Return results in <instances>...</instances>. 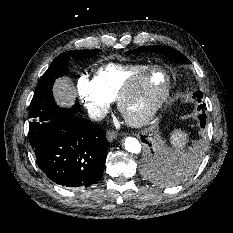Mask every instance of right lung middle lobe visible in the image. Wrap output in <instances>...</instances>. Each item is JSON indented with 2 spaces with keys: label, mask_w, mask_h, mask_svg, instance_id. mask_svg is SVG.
Returning a JSON list of instances; mask_svg holds the SVG:
<instances>
[{
  "label": "right lung middle lobe",
  "mask_w": 233,
  "mask_h": 233,
  "mask_svg": "<svg viewBox=\"0 0 233 233\" xmlns=\"http://www.w3.org/2000/svg\"><path fill=\"white\" fill-rule=\"evenodd\" d=\"M99 50H74L64 52L57 56L51 63L41 81L39 82L33 99L30 104L29 118V141L35 148L41 140L47 128V123L62 108L55 105L52 94V86L58 77L63 76L67 72V64L70 56L78 59L88 58L97 54ZM75 109H79V103L76 101Z\"/></svg>",
  "instance_id": "dd1d6c3e"
}]
</instances>
